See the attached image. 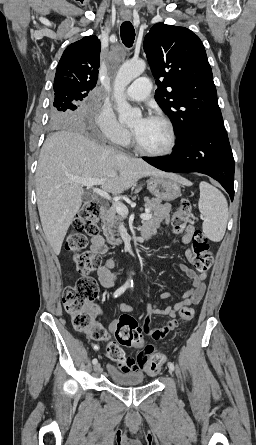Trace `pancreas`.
Wrapping results in <instances>:
<instances>
[{
	"label": "pancreas",
	"instance_id": "pancreas-1",
	"mask_svg": "<svg viewBox=\"0 0 256 445\" xmlns=\"http://www.w3.org/2000/svg\"><path fill=\"white\" fill-rule=\"evenodd\" d=\"M145 207L153 214L152 220L162 221L169 213L161 204V200L157 198L146 199ZM123 216L117 213L114 207L109 208L105 216L102 218V231L107 241L110 243H120L119 238H115V228L121 223Z\"/></svg>",
	"mask_w": 256,
	"mask_h": 445
}]
</instances>
